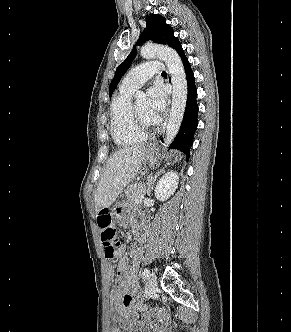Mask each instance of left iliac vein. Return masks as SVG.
<instances>
[{
    "label": "left iliac vein",
    "instance_id": "4c4485c4",
    "mask_svg": "<svg viewBox=\"0 0 291 332\" xmlns=\"http://www.w3.org/2000/svg\"><path fill=\"white\" fill-rule=\"evenodd\" d=\"M156 286H157V276H156V274L152 271V272L149 274V277H148V282H147L148 291H149L150 293H154L155 290H156Z\"/></svg>",
    "mask_w": 291,
    "mask_h": 332
}]
</instances>
